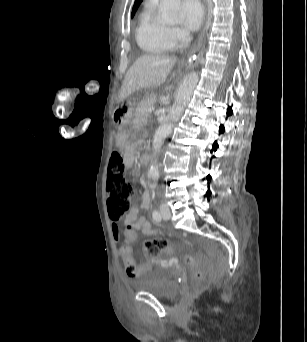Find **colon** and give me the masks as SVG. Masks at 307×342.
I'll use <instances>...</instances> for the list:
<instances>
[{
  "label": "colon",
  "mask_w": 307,
  "mask_h": 342,
  "mask_svg": "<svg viewBox=\"0 0 307 342\" xmlns=\"http://www.w3.org/2000/svg\"><path fill=\"white\" fill-rule=\"evenodd\" d=\"M125 166L119 152L114 151L111 155L108 173H107V190L109 198L111 199V206L109 210L115 219V222H120L122 218L133 209L134 203L132 195L134 186L128 182L124 177ZM125 232L127 234V242H135L134 227L126 226ZM120 254H127L126 259V273L129 278L137 279L148 270L146 265L138 266L134 264L132 255V243H120ZM142 249L149 257H159L163 252L176 253V246H169V242L165 239H151L145 241ZM184 268H190L191 276H194L193 281H190V288H199L200 283H203L206 276V266H199V261L185 255Z\"/></svg>",
  "instance_id": "5ec220e1"
}]
</instances>
